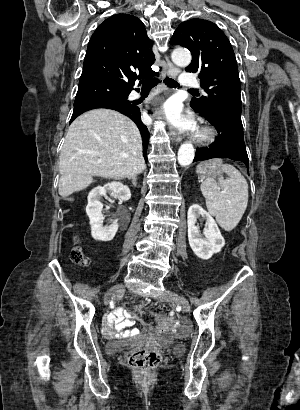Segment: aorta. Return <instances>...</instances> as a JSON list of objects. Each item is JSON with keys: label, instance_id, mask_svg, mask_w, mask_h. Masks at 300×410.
Wrapping results in <instances>:
<instances>
[{"label": "aorta", "instance_id": "1", "mask_svg": "<svg viewBox=\"0 0 300 410\" xmlns=\"http://www.w3.org/2000/svg\"><path fill=\"white\" fill-rule=\"evenodd\" d=\"M172 61L180 67H187L191 63V54L188 50L177 48L172 52ZM195 150L191 143H183L178 150V163L187 166L192 163Z\"/></svg>", "mask_w": 300, "mask_h": 410}]
</instances>
